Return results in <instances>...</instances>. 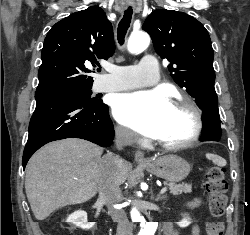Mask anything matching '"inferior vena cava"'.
Here are the masks:
<instances>
[{"label":"inferior vena cava","instance_id":"obj_1","mask_svg":"<svg viewBox=\"0 0 250 235\" xmlns=\"http://www.w3.org/2000/svg\"><path fill=\"white\" fill-rule=\"evenodd\" d=\"M134 133L125 128H116L115 144L118 149L131 144L134 141ZM121 162L118 156L106 155L103 158L104 165L98 170L97 180L99 189V199L104 201L108 211L113 219L117 222L116 235H132V224L128 221L126 213L122 209L114 208L121 196L119 185L116 181V165Z\"/></svg>","mask_w":250,"mask_h":235}]
</instances>
